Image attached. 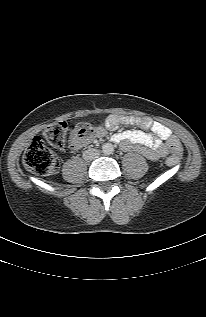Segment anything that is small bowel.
Segmentation results:
<instances>
[{"instance_id":"small-bowel-1","label":"small bowel","mask_w":206,"mask_h":317,"mask_svg":"<svg viewBox=\"0 0 206 317\" xmlns=\"http://www.w3.org/2000/svg\"><path fill=\"white\" fill-rule=\"evenodd\" d=\"M122 124L137 125L144 130L151 131V133H147L142 130H127L113 135L112 140L120 144L124 150L134 149L152 161L163 158L168 154V146L165 141L172 137L171 130L149 117L110 115L106 118L104 124L97 128V136H102L107 129L115 130ZM86 143L87 141H72L71 147L79 149ZM132 145H135V147Z\"/></svg>"}]
</instances>
